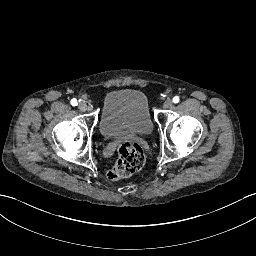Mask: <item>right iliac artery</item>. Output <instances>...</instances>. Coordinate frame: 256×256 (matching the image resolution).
<instances>
[{
    "label": "right iliac artery",
    "mask_w": 256,
    "mask_h": 256,
    "mask_svg": "<svg viewBox=\"0 0 256 256\" xmlns=\"http://www.w3.org/2000/svg\"><path fill=\"white\" fill-rule=\"evenodd\" d=\"M71 105L72 106H77L78 105L77 100L75 98L71 100Z\"/></svg>",
    "instance_id": "1"
}]
</instances>
